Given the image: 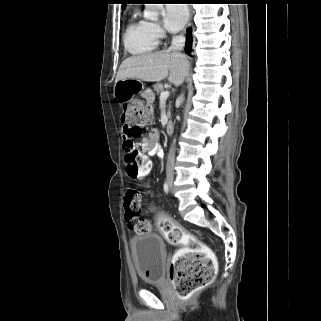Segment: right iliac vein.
<instances>
[{
    "label": "right iliac vein",
    "mask_w": 321,
    "mask_h": 321,
    "mask_svg": "<svg viewBox=\"0 0 321 321\" xmlns=\"http://www.w3.org/2000/svg\"><path fill=\"white\" fill-rule=\"evenodd\" d=\"M167 181H168L169 186L172 188L173 187V175L168 174Z\"/></svg>",
    "instance_id": "right-iliac-vein-1"
}]
</instances>
